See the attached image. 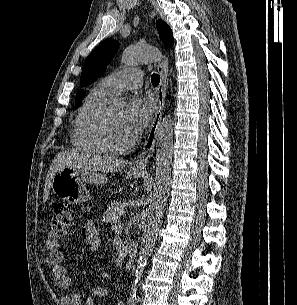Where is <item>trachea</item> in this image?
I'll use <instances>...</instances> for the list:
<instances>
[{
  "label": "trachea",
  "mask_w": 297,
  "mask_h": 305,
  "mask_svg": "<svg viewBox=\"0 0 297 305\" xmlns=\"http://www.w3.org/2000/svg\"><path fill=\"white\" fill-rule=\"evenodd\" d=\"M151 82H152V84L154 85V86H157L158 84H159V82H160V76L158 75V74H153L152 76H151Z\"/></svg>",
  "instance_id": "obj_1"
}]
</instances>
